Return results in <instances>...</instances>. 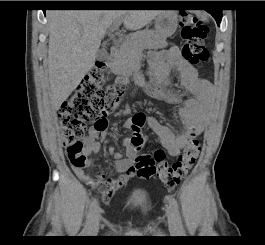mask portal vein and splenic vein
Returning <instances> with one entry per match:
<instances>
[{
    "instance_id": "obj_1",
    "label": "portal vein and splenic vein",
    "mask_w": 265,
    "mask_h": 245,
    "mask_svg": "<svg viewBox=\"0 0 265 245\" xmlns=\"http://www.w3.org/2000/svg\"><path fill=\"white\" fill-rule=\"evenodd\" d=\"M122 23V19H117L112 26V31L117 30Z\"/></svg>"
}]
</instances>
